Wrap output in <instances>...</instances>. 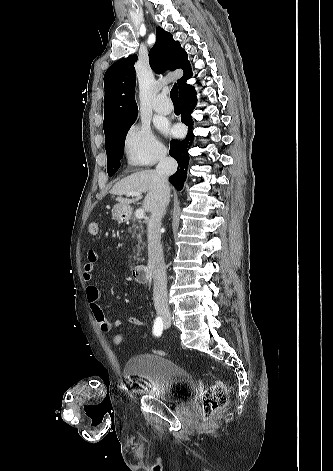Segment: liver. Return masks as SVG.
<instances>
[{"mask_svg": "<svg viewBox=\"0 0 333 471\" xmlns=\"http://www.w3.org/2000/svg\"><path fill=\"white\" fill-rule=\"evenodd\" d=\"M130 191L140 192V195L132 199L122 197L123 194ZM143 192H147L143 201V209L146 212H151L159 195L158 176L155 170H142L133 173L118 181L110 191L111 194L117 195L116 200L119 204L126 206L140 200Z\"/></svg>", "mask_w": 333, "mask_h": 471, "instance_id": "6515ba94", "label": "liver"}]
</instances>
